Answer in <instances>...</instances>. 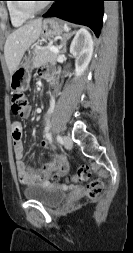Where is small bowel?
<instances>
[{"mask_svg":"<svg viewBox=\"0 0 133 253\" xmlns=\"http://www.w3.org/2000/svg\"><path fill=\"white\" fill-rule=\"evenodd\" d=\"M40 74L43 78H50V72L46 68H42ZM57 91V86L54 85L53 92ZM31 114V108L27 106L22 117L28 118ZM50 115H45V128L44 136L45 138L41 141L40 146L42 149H54L55 146L52 143L49 128H50ZM12 128V138H13V149L16 159V168L19 181L24 185H34L42 180L48 178L53 172H60L62 175L66 174L68 171V163L62 155L55 154L52 156L50 161H48L42 171L37 173L32 167H30L24 160V145L22 142L23 127L21 122L14 121L11 125Z\"/></svg>","mask_w":133,"mask_h":253,"instance_id":"obj_1","label":"small bowel"}]
</instances>
